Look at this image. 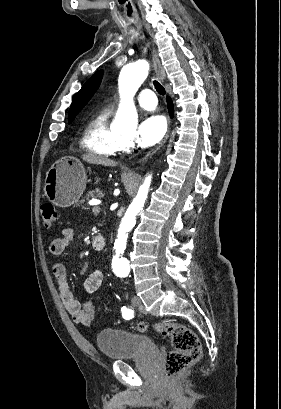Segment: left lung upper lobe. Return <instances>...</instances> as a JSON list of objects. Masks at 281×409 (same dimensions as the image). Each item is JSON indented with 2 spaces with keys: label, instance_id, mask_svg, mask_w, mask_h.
Returning a JSON list of instances; mask_svg holds the SVG:
<instances>
[{
  "label": "left lung upper lobe",
  "instance_id": "obj_1",
  "mask_svg": "<svg viewBox=\"0 0 281 409\" xmlns=\"http://www.w3.org/2000/svg\"><path fill=\"white\" fill-rule=\"evenodd\" d=\"M102 76L103 71H97L91 78L87 80L81 90L76 94L69 110V123L74 120L75 116L87 104V102L96 92L102 80Z\"/></svg>",
  "mask_w": 281,
  "mask_h": 409
}]
</instances>
